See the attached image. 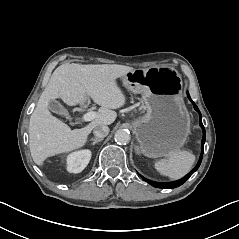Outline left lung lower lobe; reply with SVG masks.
<instances>
[{
    "label": "left lung lower lobe",
    "mask_w": 239,
    "mask_h": 239,
    "mask_svg": "<svg viewBox=\"0 0 239 239\" xmlns=\"http://www.w3.org/2000/svg\"><path fill=\"white\" fill-rule=\"evenodd\" d=\"M187 95H188V98L191 100L189 93H187ZM191 102L193 103V106H194L195 110L199 113L200 126H201V128L203 130L201 156H200L199 162H198L197 166L188 175H186L184 178H182V179H180L178 181H174V182H170V183H158V182H153V181L144 179L146 182H148L150 185H152V186H154L156 188H163V189H166V188H176V187L182 185L199 168V166L201 164L202 157H203V151H204V142H205V139H206V132H205V128H204V126L202 124L201 113H200L198 107L195 105V103L192 100H191Z\"/></svg>",
    "instance_id": "1"
}]
</instances>
